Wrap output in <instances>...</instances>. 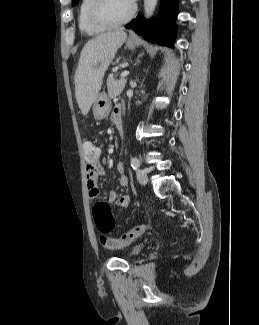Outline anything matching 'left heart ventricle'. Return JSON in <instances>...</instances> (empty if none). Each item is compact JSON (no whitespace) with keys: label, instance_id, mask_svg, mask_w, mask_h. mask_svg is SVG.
<instances>
[{"label":"left heart ventricle","instance_id":"left-heart-ventricle-1","mask_svg":"<svg viewBox=\"0 0 259 325\" xmlns=\"http://www.w3.org/2000/svg\"><path fill=\"white\" fill-rule=\"evenodd\" d=\"M131 6L127 0H108L107 12L111 17L119 19L130 11Z\"/></svg>","mask_w":259,"mask_h":325}]
</instances>
